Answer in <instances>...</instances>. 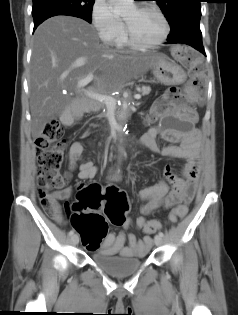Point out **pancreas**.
<instances>
[{
  "label": "pancreas",
  "instance_id": "obj_1",
  "mask_svg": "<svg viewBox=\"0 0 238 315\" xmlns=\"http://www.w3.org/2000/svg\"><path fill=\"white\" fill-rule=\"evenodd\" d=\"M151 92V88L149 86H142L141 93L142 95H148Z\"/></svg>",
  "mask_w": 238,
  "mask_h": 315
}]
</instances>
